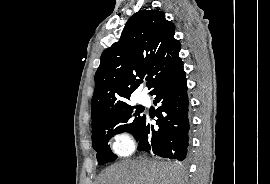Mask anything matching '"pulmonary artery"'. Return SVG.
Wrapping results in <instances>:
<instances>
[{"instance_id":"e3ab8cb5","label":"pulmonary artery","mask_w":270,"mask_h":184,"mask_svg":"<svg viewBox=\"0 0 270 184\" xmlns=\"http://www.w3.org/2000/svg\"><path fill=\"white\" fill-rule=\"evenodd\" d=\"M139 101H140L141 103H146V102L148 101V98H147V96H146L145 94H141V95L139 96Z\"/></svg>"}]
</instances>
